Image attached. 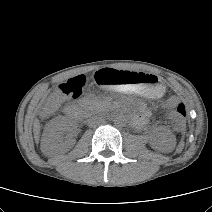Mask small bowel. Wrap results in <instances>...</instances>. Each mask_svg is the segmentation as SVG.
Returning <instances> with one entry per match:
<instances>
[{
	"mask_svg": "<svg viewBox=\"0 0 212 212\" xmlns=\"http://www.w3.org/2000/svg\"><path fill=\"white\" fill-rule=\"evenodd\" d=\"M147 115V110L146 109H142V116H146Z\"/></svg>",
	"mask_w": 212,
	"mask_h": 212,
	"instance_id": "1",
	"label": "small bowel"
}]
</instances>
